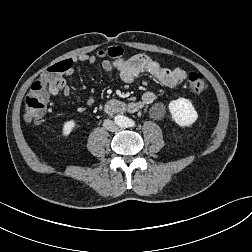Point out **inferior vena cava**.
I'll list each match as a JSON object with an SVG mask.
<instances>
[{
  "mask_svg": "<svg viewBox=\"0 0 252 252\" xmlns=\"http://www.w3.org/2000/svg\"><path fill=\"white\" fill-rule=\"evenodd\" d=\"M103 127L111 132H115L118 129L117 125L109 119L104 120Z\"/></svg>",
  "mask_w": 252,
  "mask_h": 252,
  "instance_id": "inferior-vena-cava-1",
  "label": "inferior vena cava"
}]
</instances>
